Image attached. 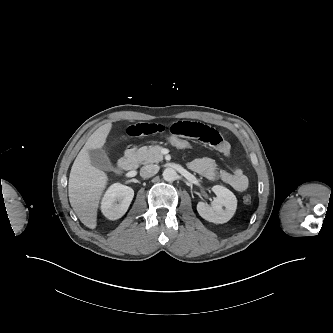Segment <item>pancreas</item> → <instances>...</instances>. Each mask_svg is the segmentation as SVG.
Listing matches in <instances>:
<instances>
[{
	"instance_id": "obj_1",
	"label": "pancreas",
	"mask_w": 333,
	"mask_h": 333,
	"mask_svg": "<svg viewBox=\"0 0 333 333\" xmlns=\"http://www.w3.org/2000/svg\"><path fill=\"white\" fill-rule=\"evenodd\" d=\"M162 146L151 145L141 147L137 152L138 161L142 164L159 163L163 160Z\"/></svg>"
}]
</instances>
